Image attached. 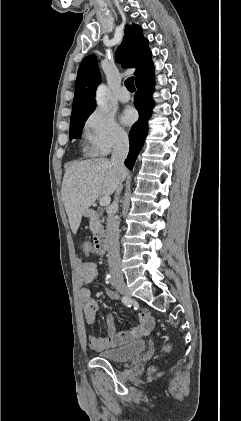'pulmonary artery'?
Segmentation results:
<instances>
[{
	"label": "pulmonary artery",
	"mask_w": 241,
	"mask_h": 421,
	"mask_svg": "<svg viewBox=\"0 0 241 421\" xmlns=\"http://www.w3.org/2000/svg\"><path fill=\"white\" fill-rule=\"evenodd\" d=\"M117 98L120 102L125 103V102H128L131 97H130V93L125 88H122L120 92L118 93Z\"/></svg>",
	"instance_id": "pulmonary-artery-1"
}]
</instances>
